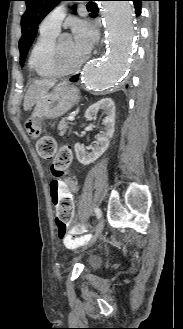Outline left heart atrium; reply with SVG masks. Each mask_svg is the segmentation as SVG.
Returning <instances> with one entry per match:
<instances>
[{
  "label": "left heart atrium",
  "mask_w": 183,
  "mask_h": 329,
  "mask_svg": "<svg viewBox=\"0 0 183 329\" xmlns=\"http://www.w3.org/2000/svg\"><path fill=\"white\" fill-rule=\"evenodd\" d=\"M73 42L75 46L88 53L97 40V31L88 21L77 20L72 25Z\"/></svg>",
  "instance_id": "obj_1"
}]
</instances>
